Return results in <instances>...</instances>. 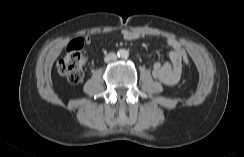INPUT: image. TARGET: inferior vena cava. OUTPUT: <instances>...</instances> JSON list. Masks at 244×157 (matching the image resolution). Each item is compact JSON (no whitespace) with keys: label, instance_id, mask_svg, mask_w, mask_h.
Listing matches in <instances>:
<instances>
[{"label":"inferior vena cava","instance_id":"1","mask_svg":"<svg viewBox=\"0 0 244 157\" xmlns=\"http://www.w3.org/2000/svg\"><path fill=\"white\" fill-rule=\"evenodd\" d=\"M117 58V55L115 53H109L107 54L105 57H104V61L105 62H110V61H113V60H116Z\"/></svg>","mask_w":244,"mask_h":157}]
</instances>
